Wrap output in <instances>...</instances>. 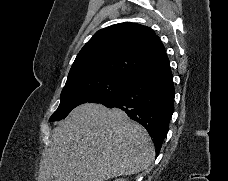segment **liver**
<instances>
[{
	"instance_id": "1",
	"label": "liver",
	"mask_w": 228,
	"mask_h": 181,
	"mask_svg": "<svg viewBox=\"0 0 228 181\" xmlns=\"http://www.w3.org/2000/svg\"><path fill=\"white\" fill-rule=\"evenodd\" d=\"M146 129L121 109L84 103L52 131L39 181H108L137 175L154 159Z\"/></svg>"
}]
</instances>
